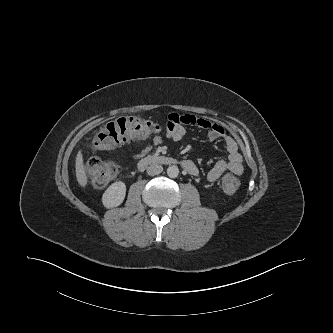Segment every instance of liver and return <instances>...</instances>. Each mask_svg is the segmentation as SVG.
Here are the masks:
<instances>
[{"mask_svg":"<svg viewBox=\"0 0 333 333\" xmlns=\"http://www.w3.org/2000/svg\"><path fill=\"white\" fill-rule=\"evenodd\" d=\"M75 172H76V178H77L78 184L81 187L85 188V186L87 185L88 179H87V175H86V171H85L84 160H83V155H82L81 150L77 153V156H76Z\"/></svg>","mask_w":333,"mask_h":333,"instance_id":"liver-1","label":"liver"}]
</instances>
